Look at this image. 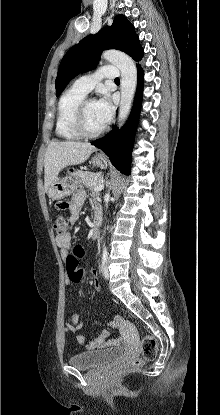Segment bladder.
<instances>
[{
  "label": "bladder",
  "mask_w": 220,
  "mask_h": 415,
  "mask_svg": "<svg viewBox=\"0 0 220 415\" xmlns=\"http://www.w3.org/2000/svg\"><path fill=\"white\" fill-rule=\"evenodd\" d=\"M125 348L117 347L99 351H84L72 356L69 360L71 366L79 369H90L116 361L123 357Z\"/></svg>",
  "instance_id": "31cf9c89"
}]
</instances>
